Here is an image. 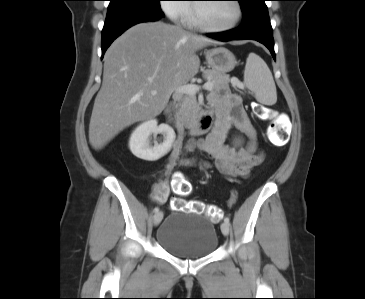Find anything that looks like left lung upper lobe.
<instances>
[{
    "instance_id": "left-lung-upper-lobe-1",
    "label": "left lung upper lobe",
    "mask_w": 365,
    "mask_h": 299,
    "mask_svg": "<svg viewBox=\"0 0 365 299\" xmlns=\"http://www.w3.org/2000/svg\"><path fill=\"white\" fill-rule=\"evenodd\" d=\"M237 1H239L243 13L257 5L265 4V0H237Z\"/></svg>"
}]
</instances>
